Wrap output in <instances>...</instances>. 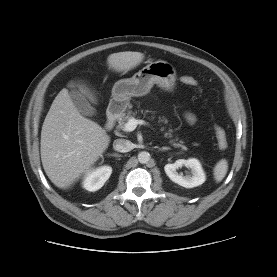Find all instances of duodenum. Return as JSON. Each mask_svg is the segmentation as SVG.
Wrapping results in <instances>:
<instances>
[{"instance_id":"1","label":"duodenum","mask_w":277,"mask_h":277,"mask_svg":"<svg viewBox=\"0 0 277 277\" xmlns=\"http://www.w3.org/2000/svg\"><path fill=\"white\" fill-rule=\"evenodd\" d=\"M121 114V105L117 102H114L110 105L108 109V114H107V122L105 125V128L107 130H111L117 119L120 117Z\"/></svg>"}]
</instances>
